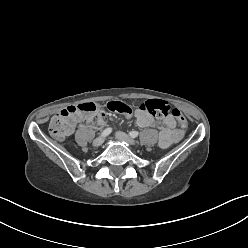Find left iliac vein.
I'll list each match as a JSON object with an SVG mask.
<instances>
[{"instance_id":"obj_1","label":"left iliac vein","mask_w":248,"mask_h":248,"mask_svg":"<svg viewBox=\"0 0 248 248\" xmlns=\"http://www.w3.org/2000/svg\"><path fill=\"white\" fill-rule=\"evenodd\" d=\"M115 136L118 140L126 142L128 144L133 145L136 143L134 139H132L129 135L125 134L124 132L117 131Z\"/></svg>"}]
</instances>
